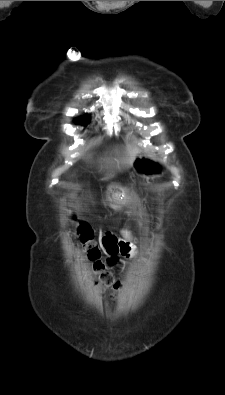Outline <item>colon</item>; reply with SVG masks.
Masks as SVG:
<instances>
[{"label":"colon","mask_w":225,"mask_h":395,"mask_svg":"<svg viewBox=\"0 0 225 395\" xmlns=\"http://www.w3.org/2000/svg\"><path fill=\"white\" fill-rule=\"evenodd\" d=\"M77 243L84 256L91 262L92 275L97 285L101 289L112 290L115 296L121 287V283L115 281L111 273L106 270V266L109 265L108 260L106 262L101 261L100 249L93 240V231L88 224H80Z\"/></svg>","instance_id":"5ec220e1"}]
</instances>
